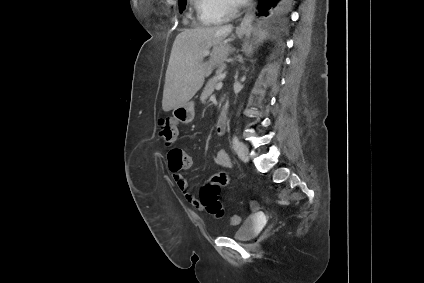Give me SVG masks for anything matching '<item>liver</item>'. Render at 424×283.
<instances>
[{
	"instance_id": "6515ba94",
	"label": "liver",
	"mask_w": 424,
	"mask_h": 283,
	"mask_svg": "<svg viewBox=\"0 0 424 283\" xmlns=\"http://www.w3.org/2000/svg\"><path fill=\"white\" fill-rule=\"evenodd\" d=\"M232 29V25L195 27L176 36L165 77L164 111L188 103L202 87L205 78L226 61L232 51L226 38ZM210 49L209 61L203 62V52Z\"/></svg>"
}]
</instances>
